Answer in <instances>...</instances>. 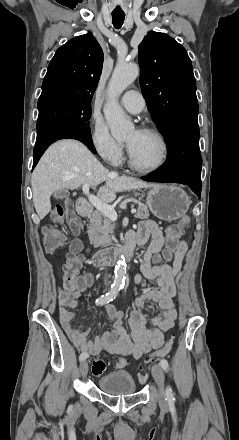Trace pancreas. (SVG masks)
<instances>
[{"instance_id":"cf45deb5","label":"pancreas","mask_w":239,"mask_h":440,"mask_svg":"<svg viewBox=\"0 0 239 440\" xmlns=\"http://www.w3.org/2000/svg\"><path fill=\"white\" fill-rule=\"evenodd\" d=\"M138 212L135 218L140 220H148L149 210L142 202H137ZM115 224H112L111 220L104 216L99 210H94L91 214L89 230L87 232L89 236L90 244H93L94 248H100V246H107L113 242L110 234L114 230Z\"/></svg>"}]
</instances>
